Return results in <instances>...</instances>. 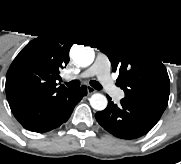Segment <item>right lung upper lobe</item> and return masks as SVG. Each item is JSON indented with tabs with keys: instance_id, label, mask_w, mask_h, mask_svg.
<instances>
[{
	"instance_id": "1",
	"label": "right lung upper lobe",
	"mask_w": 181,
	"mask_h": 164,
	"mask_svg": "<svg viewBox=\"0 0 181 164\" xmlns=\"http://www.w3.org/2000/svg\"><path fill=\"white\" fill-rule=\"evenodd\" d=\"M89 30L56 28L28 43L12 62L6 75L9 105L20 102H46L65 92L57 86L59 69L69 62V50L75 43L91 41Z\"/></svg>"
}]
</instances>
